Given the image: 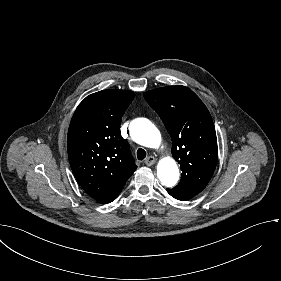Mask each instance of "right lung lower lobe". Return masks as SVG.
I'll use <instances>...</instances> for the list:
<instances>
[{
    "mask_svg": "<svg viewBox=\"0 0 281 281\" xmlns=\"http://www.w3.org/2000/svg\"><path fill=\"white\" fill-rule=\"evenodd\" d=\"M124 187V186H123ZM123 187H121L120 189H118L117 191H115L114 193H112L111 195H109L108 197H106L105 199H103L101 202L99 203H109L112 202L113 200H115L117 198V196L119 195V193L121 192V190L123 189ZM98 202V201H97Z\"/></svg>",
    "mask_w": 281,
    "mask_h": 281,
    "instance_id": "98d812e1",
    "label": "right lung lower lobe"
}]
</instances>
